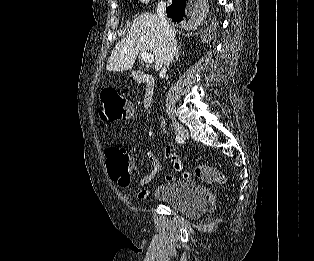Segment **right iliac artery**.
<instances>
[{"label":"right iliac artery","mask_w":314,"mask_h":261,"mask_svg":"<svg viewBox=\"0 0 314 261\" xmlns=\"http://www.w3.org/2000/svg\"><path fill=\"white\" fill-rule=\"evenodd\" d=\"M176 141H177L178 143H183V138L177 135V136H176Z\"/></svg>","instance_id":"obj_1"}]
</instances>
